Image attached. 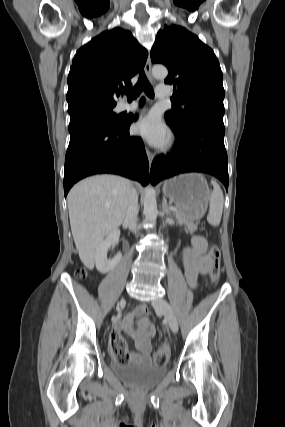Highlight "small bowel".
<instances>
[{
	"mask_svg": "<svg viewBox=\"0 0 285 427\" xmlns=\"http://www.w3.org/2000/svg\"><path fill=\"white\" fill-rule=\"evenodd\" d=\"M184 265V274L190 286L196 287L199 275L206 274L211 267V258L207 254V241L201 236H194L191 246L181 253ZM148 308L145 305L138 306L119 321L111 335H119L120 331L126 332L135 343L136 352L129 353L125 361L148 362L150 360L152 345L150 337L156 333L155 327L147 316ZM136 321V326L133 321Z\"/></svg>",
	"mask_w": 285,
	"mask_h": 427,
	"instance_id": "obj_1",
	"label": "small bowel"
}]
</instances>
